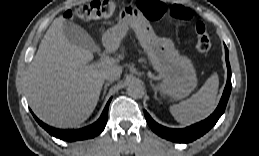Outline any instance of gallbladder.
<instances>
[{
	"instance_id": "obj_1",
	"label": "gallbladder",
	"mask_w": 259,
	"mask_h": 156,
	"mask_svg": "<svg viewBox=\"0 0 259 156\" xmlns=\"http://www.w3.org/2000/svg\"><path fill=\"white\" fill-rule=\"evenodd\" d=\"M63 33L71 44L89 51L97 50L94 40L81 26L65 21L63 23Z\"/></svg>"
}]
</instances>
